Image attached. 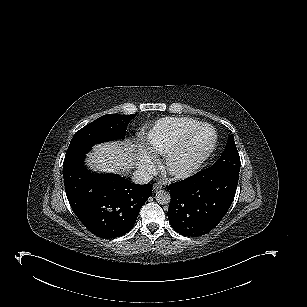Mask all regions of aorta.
<instances>
[{
    "label": "aorta",
    "mask_w": 307,
    "mask_h": 307,
    "mask_svg": "<svg viewBox=\"0 0 307 307\" xmlns=\"http://www.w3.org/2000/svg\"><path fill=\"white\" fill-rule=\"evenodd\" d=\"M155 199L159 204L166 205L170 202L171 196L168 191L159 190L156 192Z\"/></svg>",
    "instance_id": "obj_1"
}]
</instances>
